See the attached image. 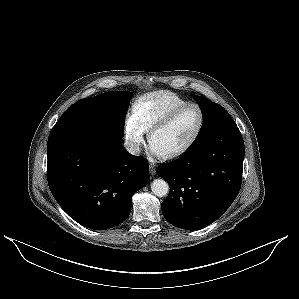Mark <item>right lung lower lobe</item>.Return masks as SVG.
<instances>
[{
    "label": "right lung lower lobe",
    "mask_w": 299,
    "mask_h": 299,
    "mask_svg": "<svg viewBox=\"0 0 299 299\" xmlns=\"http://www.w3.org/2000/svg\"><path fill=\"white\" fill-rule=\"evenodd\" d=\"M49 188L63 210L81 225L106 230L130 214L131 198L148 180L145 158L103 129L57 123L47 144Z\"/></svg>",
    "instance_id": "98d812e1"
}]
</instances>
